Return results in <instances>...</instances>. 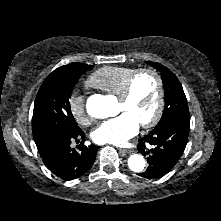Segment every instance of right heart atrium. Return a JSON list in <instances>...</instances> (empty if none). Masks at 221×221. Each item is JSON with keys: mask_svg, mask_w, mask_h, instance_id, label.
I'll use <instances>...</instances> for the list:
<instances>
[{"mask_svg": "<svg viewBox=\"0 0 221 221\" xmlns=\"http://www.w3.org/2000/svg\"><path fill=\"white\" fill-rule=\"evenodd\" d=\"M68 108L74 119L81 125H89L92 116L86 109L85 97L77 90H73L68 97Z\"/></svg>", "mask_w": 221, "mask_h": 221, "instance_id": "d8ad5b80", "label": "right heart atrium"}]
</instances>
